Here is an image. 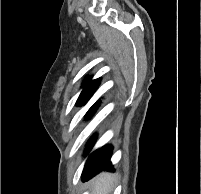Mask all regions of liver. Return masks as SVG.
I'll list each match as a JSON object with an SVG mask.
<instances>
[{"instance_id":"6515ba94","label":"liver","mask_w":201,"mask_h":194,"mask_svg":"<svg viewBox=\"0 0 201 194\" xmlns=\"http://www.w3.org/2000/svg\"><path fill=\"white\" fill-rule=\"evenodd\" d=\"M116 175L103 173L92 181V194H110L116 183Z\"/></svg>"}]
</instances>
